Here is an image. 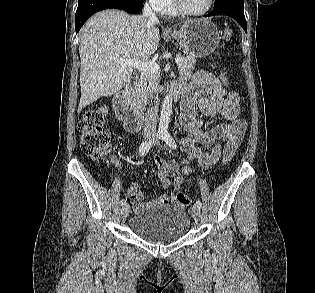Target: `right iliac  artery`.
Wrapping results in <instances>:
<instances>
[{"label": "right iliac artery", "instance_id": "82829eb1", "mask_svg": "<svg viewBox=\"0 0 315 293\" xmlns=\"http://www.w3.org/2000/svg\"><path fill=\"white\" fill-rule=\"evenodd\" d=\"M161 138V133H157L156 136H154L152 139L149 141L142 142V144L139 146V154L140 156L146 155L149 150L151 149L152 145L157 141L158 139ZM126 203L125 199H122L120 201V205H124Z\"/></svg>", "mask_w": 315, "mask_h": 293}]
</instances>
